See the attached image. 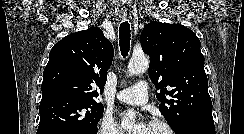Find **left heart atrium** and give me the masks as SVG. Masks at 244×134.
Listing matches in <instances>:
<instances>
[{
    "label": "left heart atrium",
    "instance_id": "left-heart-atrium-1",
    "mask_svg": "<svg viewBox=\"0 0 244 134\" xmlns=\"http://www.w3.org/2000/svg\"><path fill=\"white\" fill-rule=\"evenodd\" d=\"M133 115L132 112H128L126 114H124L125 117L131 116ZM150 123H148L147 121H142L139 125L137 130L135 131L134 134H146L148 132V129L150 127Z\"/></svg>",
    "mask_w": 244,
    "mask_h": 134
}]
</instances>
